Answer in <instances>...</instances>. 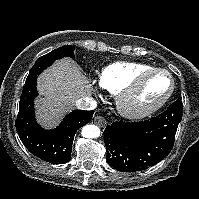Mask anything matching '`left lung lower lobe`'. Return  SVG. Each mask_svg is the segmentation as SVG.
<instances>
[{"label": "left lung lower lobe", "mask_w": 199, "mask_h": 199, "mask_svg": "<svg viewBox=\"0 0 199 199\" xmlns=\"http://www.w3.org/2000/svg\"><path fill=\"white\" fill-rule=\"evenodd\" d=\"M182 101L140 122H114L104 130L107 162L118 171L136 172L159 163L172 150L182 118Z\"/></svg>", "instance_id": "obj_1"}]
</instances>
